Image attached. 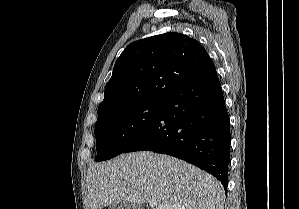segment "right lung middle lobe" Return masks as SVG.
Listing matches in <instances>:
<instances>
[{"label":"right lung middle lobe","instance_id":"dd1d6c3e","mask_svg":"<svg viewBox=\"0 0 299 209\" xmlns=\"http://www.w3.org/2000/svg\"><path fill=\"white\" fill-rule=\"evenodd\" d=\"M163 104L164 102H136L99 113L95 124L96 161L123 153L156 120Z\"/></svg>","mask_w":299,"mask_h":209}]
</instances>
